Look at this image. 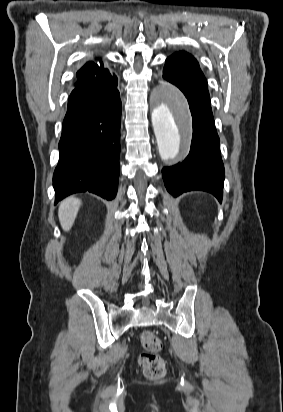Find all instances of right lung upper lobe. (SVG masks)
I'll list each match as a JSON object with an SVG mask.
<instances>
[{"instance_id":"obj_1","label":"right lung upper lobe","mask_w":283,"mask_h":412,"mask_svg":"<svg viewBox=\"0 0 283 412\" xmlns=\"http://www.w3.org/2000/svg\"><path fill=\"white\" fill-rule=\"evenodd\" d=\"M76 75L77 81L75 83V87L93 78H98L101 80H111L116 78L114 74L109 72V70L104 67L102 62H88L77 72Z\"/></svg>"}]
</instances>
